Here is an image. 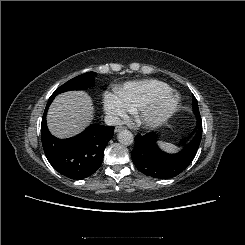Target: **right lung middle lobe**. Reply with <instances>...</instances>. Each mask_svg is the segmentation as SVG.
Returning <instances> with one entry per match:
<instances>
[{"label":"right lung middle lobe","instance_id":"1","mask_svg":"<svg viewBox=\"0 0 245 245\" xmlns=\"http://www.w3.org/2000/svg\"><path fill=\"white\" fill-rule=\"evenodd\" d=\"M95 74V72H87L69 80L57 88L51 97L54 98L56 95L69 90H83L90 87L93 84Z\"/></svg>","mask_w":245,"mask_h":245}]
</instances>
